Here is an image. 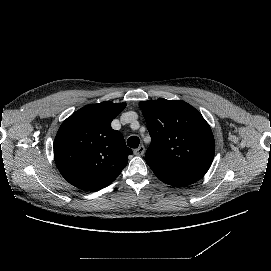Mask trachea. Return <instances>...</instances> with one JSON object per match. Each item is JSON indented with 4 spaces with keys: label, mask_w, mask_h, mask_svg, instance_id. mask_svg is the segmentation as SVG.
<instances>
[{
    "label": "trachea",
    "mask_w": 271,
    "mask_h": 271,
    "mask_svg": "<svg viewBox=\"0 0 271 271\" xmlns=\"http://www.w3.org/2000/svg\"><path fill=\"white\" fill-rule=\"evenodd\" d=\"M140 140L137 136H131L127 140V145L131 148H137L139 146Z\"/></svg>",
    "instance_id": "obj_1"
}]
</instances>
